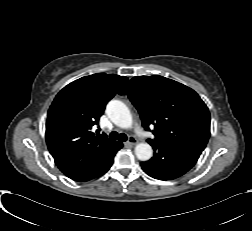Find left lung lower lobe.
I'll return each instance as SVG.
<instances>
[{
  "instance_id": "0a47b994",
  "label": "left lung lower lobe",
  "mask_w": 252,
  "mask_h": 231,
  "mask_svg": "<svg viewBox=\"0 0 252 231\" xmlns=\"http://www.w3.org/2000/svg\"><path fill=\"white\" fill-rule=\"evenodd\" d=\"M155 153L142 169L159 180L178 178L189 171L197 162L203 150L183 144L152 143Z\"/></svg>"
}]
</instances>
